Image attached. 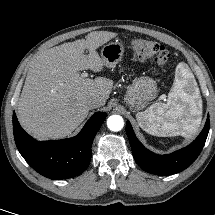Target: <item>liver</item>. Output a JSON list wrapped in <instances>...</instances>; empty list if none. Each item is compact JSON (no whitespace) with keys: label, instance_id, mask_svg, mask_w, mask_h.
<instances>
[{"label":"liver","instance_id":"1","mask_svg":"<svg viewBox=\"0 0 215 215\" xmlns=\"http://www.w3.org/2000/svg\"><path fill=\"white\" fill-rule=\"evenodd\" d=\"M116 36L107 31L90 32L86 39L44 50L31 59L17 105L19 122L29 134L36 139L66 137L88 116L89 98L106 103L113 81L85 79L79 71H102L104 64L96 49ZM85 49L88 55H84Z\"/></svg>","mask_w":215,"mask_h":215}]
</instances>
